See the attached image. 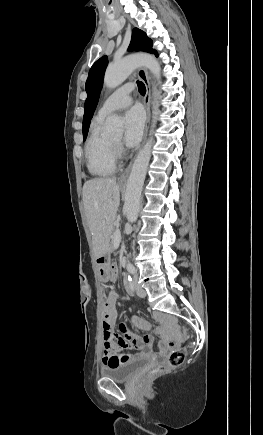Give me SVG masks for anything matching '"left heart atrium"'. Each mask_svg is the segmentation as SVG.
I'll return each instance as SVG.
<instances>
[{
  "label": "left heart atrium",
  "instance_id": "obj_1",
  "mask_svg": "<svg viewBox=\"0 0 263 435\" xmlns=\"http://www.w3.org/2000/svg\"><path fill=\"white\" fill-rule=\"evenodd\" d=\"M144 115L139 108H132L125 114L124 144L127 147L136 146L142 138Z\"/></svg>",
  "mask_w": 263,
  "mask_h": 435
}]
</instances>
